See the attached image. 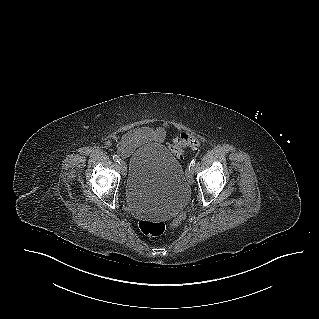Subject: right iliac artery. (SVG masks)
Wrapping results in <instances>:
<instances>
[{
	"instance_id": "right-iliac-artery-1",
	"label": "right iliac artery",
	"mask_w": 319,
	"mask_h": 319,
	"mask_svg": "<svg viewBox=\"0 0 319 319\" xmlns=\"http://www.w3.org/2000/svg\"><path fill=\"white\" fill-rule=\"evenodd\" d=\"M112 158H113V160H114L115 162H117L118 164H120L121 159L119 158L118 155H113Z\"/></svg>"
}]
</instances>
